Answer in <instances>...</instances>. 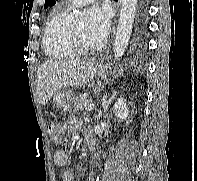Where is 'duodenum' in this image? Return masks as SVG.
I'll list each match as a JSON object with an SVG mask.
<instances>
[{
    "label": "duodenum",
    "instance_id": "duodenum-1",
    "mask_svg": "<svg viewBox=\"0 0 197 181\" xmlns=\"http://www.w3.org/2000/svg\"><path fill=\"white\" fill-rule=\"evenodd\" d=\"M86 143H87V147H88L89 151L90 152L94 151L95 139H94L93 135L90 132H87Z\"/></svg>",
    "mask_w": 197,
    "mask_h": 181
}]
</instances>
